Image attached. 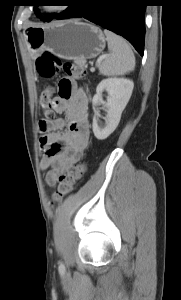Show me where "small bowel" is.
I'll return each instance as SVG.
<instances>
[{"instance_id":"c3829d8e","label":"small bowel","mask_w":181,"mask_h":300,"mask_svg":"<svg viewBox=\"0 0 181 300\" xmlns=\"http://www.w3.org/2000/svg\"><path fill=\"white\" fill-rule=\"evenodd\" d=\"M53 111L65 114V117L44 119L48 126L40 138V168L49 169L46 181L51 186L55 185L60 173L80 160L89 143L90 134L88 98L75 81L63 78L59 82V94L53 99Z\"/></svg>"}]
</instances>
